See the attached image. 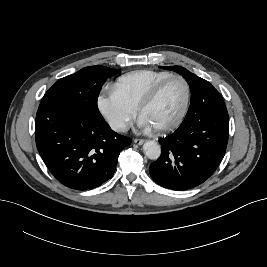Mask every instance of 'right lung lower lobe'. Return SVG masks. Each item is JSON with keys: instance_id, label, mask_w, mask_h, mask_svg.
I'll return each mask as SVG.
<instances>
[{"instance_id": "98d812e1", "label": "right lung lower lobe", "mask_w": 267, "mask_h": 267, "mask_svg": "<svg viewBox=\"0 0 267 267\" xmlns=\"http://www.w3.org/2000/svg\"><path fill=\"white\" fill-rule=\"evenodd\" d=\"M36 145L53 176L75 190L93 189L115 171L131 138L114 132L102 115L43 99L36 115Z\"/></svg>"}]
</instances>
